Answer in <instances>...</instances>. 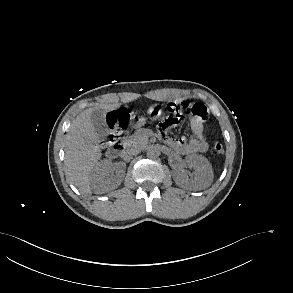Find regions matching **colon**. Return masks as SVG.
<instances>
[{
	"instance_id": "5ec220e1",
	"label": "colon",
	"mask_w": 293,
	"mask_h": 293,
	"mask_svg": "<svg viewBox=\"0 0 293 293\" xmlns=\"http://www.w3.org/2000/svg\"><path fill=\"white\" fill-rule=\"evenodd\" d=\"M168 116L159 124L158 129L164 138H170L169 131L177 126L185 115H192L200 120L208 118V109L202 103L189 101H173L167 104ZM128 114L125 110H117L111 113L108 121L109 133L104 139L107 146L117 144L122 135V129L127 121ZM213 150L217 155L224 151L223 145L217 139L213 141Z\"/></svg>"
}]
</instances>
